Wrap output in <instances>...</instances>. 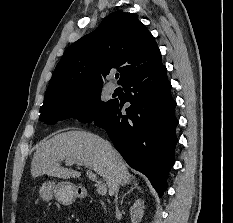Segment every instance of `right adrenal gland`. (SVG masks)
I'll return each mask as SVG.
<instances>
[{
    "mask_svg": "<svg viewBox=\"0 0 233 223\" xmlns=\"http://www.w3.org/2000/svg\"><path fill=\"white\" fill-rule=\"evenodd\" d=\"M132 183H134V187L133 185H131L130 189H128V191H126V193H123L122 197H121V201H120V207H122L123 205V199L125 197V195H127V193H131V191H133V189H140L138 183H136V181H132Z\"/></svg>",
    "mask_w": 233,
    "mask_h": 223,
    "instance_id": "2a0ac1e0",
    "label": "right adrenal gland"
}]
</instances>
